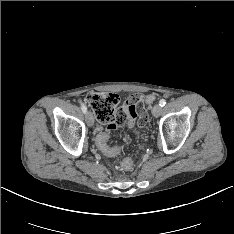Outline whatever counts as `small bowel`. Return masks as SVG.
I'll use <instances>...</instances> for the list:
<instances>
[{
    "instance_id": "small-bowel-1",
    "label": "small bowel",
    "mask_w": 234,
    "mask_h": 234,
    "mask_svg": "<svg viewBox=\"0 0 234 234\" xmlns=\"http://www.w3.org/2000/svg\"><path fill=\"white\" fill-rule=\"evenodd\" d=\"M144 96L132 95L130 96L124 105L121 107V111L127 116V127L133 129L135 122L137 121L139 128H144L148 123L149 114L145 113L144 106L146 103Z\"/></svg>"
}]
</instances>
